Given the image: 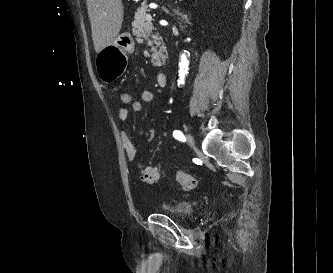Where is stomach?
Listing matches in <instances>:
<instances>
[{
  "label": "stomach",
  "mask_w": 333,
  "mask_h": 273,
  "mask_svg": "<svg viewBox=\"0 0 333 273\" xmlns=\"http://www.w3.org/2000/svg\"><path fill=\"white\" fill-rule=\"evenodd\" d=\"M135 42L129 32L119 34L114 42L104 47L96 55V69L99 78L105 83L114 81L127 69L126 54L134 52Z\"/></svg>",
  "instance_id": "obj_1"
}]
</instances>
